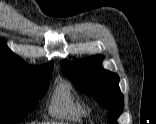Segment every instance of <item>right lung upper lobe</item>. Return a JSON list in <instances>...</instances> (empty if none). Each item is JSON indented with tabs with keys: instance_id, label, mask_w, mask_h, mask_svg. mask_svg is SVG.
Returning a JSON list of instances; mask_svg holds the SVG:
<instances>
[{
	"instance_id": "cb5924a9",
	"label": "right lung upper lobe",
	"mask_w": 156,
	"mask_h": 124,
	"mask_svg": "<svg viewBox=\"0 0 156 124\" xmlns=\"http://www.w3.org/2000/svg\"><path fill=\"white\" fill-rule=\"evenodd\" d=\"M52 69L53 62H50L43 67L28 65L12 52L3 40H0V74L23 77H43L50 75Z\"/></svg>"
}]
</instances>
